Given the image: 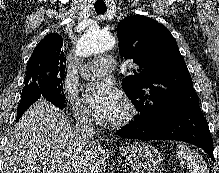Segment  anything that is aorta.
<instances>
[{"mask_svg": "<svg viewBox=\"0 0 219 173\" xmlns=\"http://www.w3.org/2000/svg\"><path fill=\"white\" fill-rule=\"evenodd\" d=\"M116 45V39L109 33L99 29H89L82 35L75 49L78 57H88L93 54L111 50Z\"/></svg>", "mask_w": 219, "mask_h": 173, "instance_id": "obj_1", "label": "aorta"}]
</instances>
